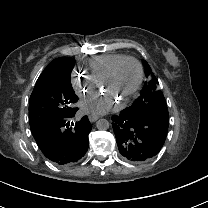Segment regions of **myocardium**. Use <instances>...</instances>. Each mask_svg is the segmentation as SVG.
<instances>
[{"label":"myocardium","instance_id":"obj_1","mask_svg":"<svg viewBox=\"0 0 208 208\" xmlns=\"http://www.w3.org/2000/svg\"><path fill=\"white\" fill-rule=\"evenodd\" d=\"M132 61L135 63V65L137 66L138 69V79L137 82L135 84V86L133 87V89L129 92V94L125 97L122 98L121 101L119 102V105H124L126 104L131 98H133L137 92L139 91V89L142 86V83L144 81V69L143 66L141 64V62L133 57V56H123L121 59H119L111 68V70L108 72V74L98 83V87L99 88H104L106 85L110 84L115 76V73L119 67V65L124 62V61Z\"/></svg>","mask_w":208,"mask_h":208}]
</instances>
